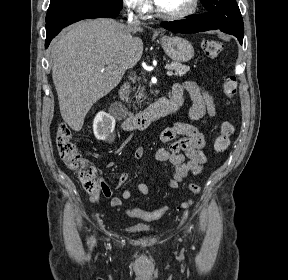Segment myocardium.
I'll list each match as a JSON object with an SVG mask.
<instances>
[{"label":"myocardium","instance_id":"f54148a6","mask_svg":"<svg viewBox=\"0 0 288 280\" xmlns=\"http://www.w3.org/2000/svg\"><path fill=\"white\" fill-rule=\"evenodd\" d=\"M199 4H200V0H192L190 6L186 10L180 13H176V14L164 13L163 11L159 9V7H157L156 13L160 18H163L165 20L178 21V20H182L193 15L197 11Z\"/></svg>","mask_w":288,"mask_h":280}]
</instances>
